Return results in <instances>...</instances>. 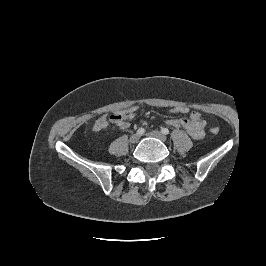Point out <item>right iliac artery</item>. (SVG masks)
Masks as SVG:
<instances>
[{"instance_id": "82829eb1", "label": "right iliac artery", "mask_w": 266, "mask_h": 266, "mask_svg": "<svg viewBox=\"0 0 266 266\" xmlns=\"http://www.w3.org/2000/svg\"><path fill=\"white\" fill-rule=\"evenodd\" d=\"M144 133H145V129L142 127L137 130L138 135H143Z\"/></svg>"}]
</instances>
